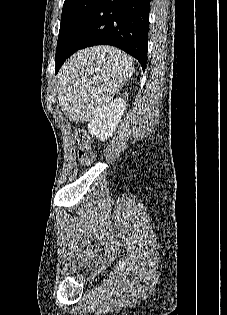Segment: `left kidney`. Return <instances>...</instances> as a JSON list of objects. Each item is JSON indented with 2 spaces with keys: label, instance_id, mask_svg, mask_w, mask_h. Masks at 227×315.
Masks as SVG:
<instances>
[{
  "label": "left kidney",
  "instance_id": "5707ae66",
  "mask_svg": "<svg viewBox=\"0 0 227 315\" xmlns=\"http://www.w3.org/2000/svg\"><path fill=\"white\" fill-rule=\"evenodd\" d=\"M124 110L125 101L122 98L115 99L102 108L90 121L88 124L89 132L101 141L107 140L116 130Z\"/></svg>",
  "mask_w": 227,
  "mask_h": 315
}]
</instances>
